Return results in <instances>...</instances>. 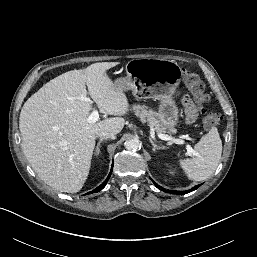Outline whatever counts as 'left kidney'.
<instances>
[{
    "instance_id": "5707ae66",
    "label": "left kidney",
    "mask_w": 257,
    "mask_h": 257,
    "mask_svg": "<svg viewBox=\"0 0 257 257\" xmlns=\"http://www.w3.org/2000/svg\"><path fill=\"white\" fill-rule=\"evenodd\" d=\"M170 171V173L173 175L175 172H174V170H169Z\"/></svg>"
}]
</instances>
